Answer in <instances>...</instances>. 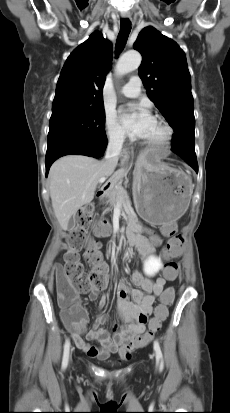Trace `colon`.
Segmentation results:
<instances>
[{"mask_svg": "<svg viewBox=\"0 0 230 413\" xmlns=\"http://www.w3.org/2000/svg\"><path fill=\"white\" fill-rule=\"evenodd\" d=\"M94 217L93 205H85L76 217V227L67 237L68 252L64 264L56 267V287L58 301L64 311H73L77 316L81 314L76 306V293H84L92 288H101L105 282L106 265L102 260L100 247L97 242L88 238L87 230ZM101 228V224L98 225ZM183 238L181 235L173 236L167 244L166 264L161 270V275L169 281H174L178 276L179 264L176 258L181 252ZM81 251H84L90 271H86L81 262ZM174 291L166 290L160 298L154 316L149 322L147 333L139 340L125 346V357H129L134 349L147 344L153 335L160 329L161 323L168 315L167 307L172 303Z\"/></svg>", "mask_w": 230, "mask_h": 413, "instance_id": "obj_1", "label": "colon"}]
</instances>
